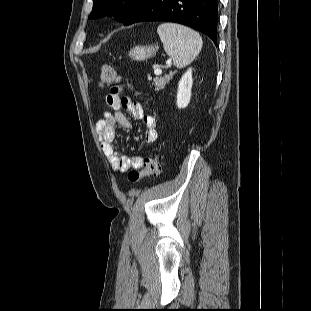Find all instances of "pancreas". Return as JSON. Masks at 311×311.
<instances>
[{
  "instance_id": "pancreas-1",
  "label": "pancreas",
  "mask_w": 311,
  "mask_h": 311,
  "mask_svg": "<svg viewBox=\"0 0 311 311\" xmlns=\"http://www.w3.org/2000/svg\"><path fill=\"white\" fill-rule=\"evenodd\" d=\"M153 85H155V90L159 91L164 89L165 85H166V81L164 78H156L153 81Z\"/></svg>"
}]
</instances>
